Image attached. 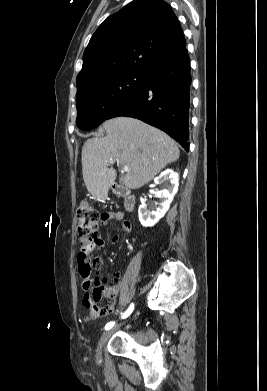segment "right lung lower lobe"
<instances>
[{"label": "right lung lower lobe", "instance_id": "98d812e1", "mask_svg": "<svg viewBox=\"0 0 267 391\" xmlns=\"http://www.w3.org/2000/svg\"><path fill=\"white\" fill-rule=\"evenodd\" d=\"M141 88L108 119L129 116L155 126L189 150L190 61L185 49L151 65Z\"/></svg>", "mask_w": 267, "mask_h": 391}]
</instances>
